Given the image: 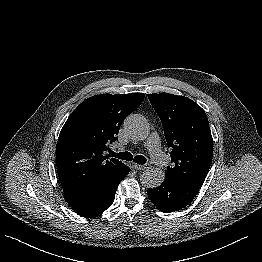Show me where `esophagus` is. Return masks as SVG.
<instances>
[{
  "instance_id": "esophagus-1",
  "label": "esophagus",
  "mask_w": 262,
  "mask_h": 262,
  "mask_svg": "<svg viewBox=\"0 0 262 262\" xmlns=\"http://www.w3.org/2000/svg\"><path fill=\"white\" fill-rule=\"evenodd\" d=\"M134 167L137 170H146V169H150L151 165L150 164H144V165H140V164H134Z\"/></svg>"
}]
</instances>
